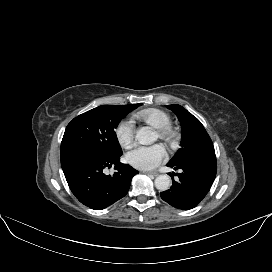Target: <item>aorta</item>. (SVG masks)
Here are the masks:
<instances>
[{
  "instance_id": "obj_1",
  "label": "aorta",
  "mask_w": 272,
  "mask_h": 272,
  "mask_svg": "<svg viewBox=\"0 0 272 272\" xmlns=\"http://www.w3.org/2000/svg\"><path fill=\"white\" fill-rule=\"evenodd\" d=\"M136 140L143 145L152 144L156 140V134L150 127L140 128L135 136ZM155 187L160 191H166L171 186V178L168 175H159L155 179Z\"/></svg>"
}]
</instances>
